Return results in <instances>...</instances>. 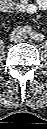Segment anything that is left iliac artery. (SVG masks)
Segmentation results:
<instances>
[{"label":"left iliac artery","mask_w":47,"mask_h":129,"mask_svg":"<svg viewBox=\"0 0 47 129\" xmlns=\"http://www.w3.org/2000/svg\"><path fill=\"white\" fill-rule=\"evenodd\" d=\"M31 36L36 41H40V40L44 39V35L40 34V33H37V32L31 33Z\"/></svg>","instance_id":"left-iliac-artery-1"}]
</instances>
